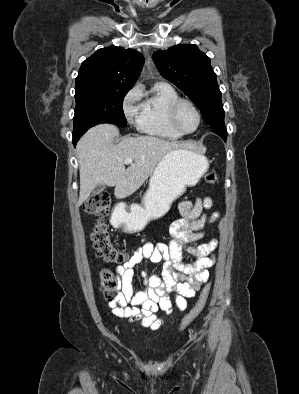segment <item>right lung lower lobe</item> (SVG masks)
<instances>
[{
  "label": "right lung lower lobe",
  "instance_id": "98d812e1",
  "mask_svg": "<svg viewBox=\"0 0 299 394\" xmlns=\"http://www.w3.org/2000/svg\"><path fill=\"white\" fill-rule=\"evenodd\" d=\"M86 129H82V130H74L73 131V144L74 146L76 145L77 141L80 139V137L86 132Z\"/></svg>",
  "mask_w": 299,
  "mask_h": 394
}]
</instances>
